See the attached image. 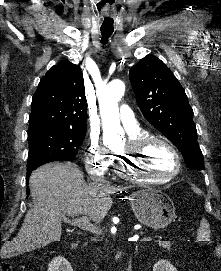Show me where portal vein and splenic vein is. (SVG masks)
I'll list each match as a JSON object with an SVG mask.
<instances>
[{
	"label": "portal vein and splenic vein",
	"instance_id": "1",
	"mask_svg": "<svg viewBox=\"0 0 221 271\" xmlns=\"http://www.w3.org/2000/svg\"><path fill=\"white\" fill-rule=\"evenodd\" d=\"M63 221H65V223H71V225H77V227H81V229H87V231H91L93 234L98 232L96 230L97 227H95V225H91L90 219H88L86 215H82V217H76V215L66 217V215H64ZM141 238L142 240H153L155 237L153 235H142Z\"/></svg>",
	"mask_w": 221,
	"mask_h": 271
}]
</instances>
